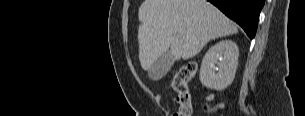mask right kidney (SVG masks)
<instances>
[{
	"instance_id": "1",
	"label": "right kidney",
	"mask_w": 305,
	"mask_h": 116,
	"mask_svg": "<svg viewBox=\"0 0 305 116\" xmlns=\"http://www.w3.org/2000/svg\"><path fill=\"white\" fill-rule=\"evenodd\" d=\"M238 56V46L231 40L212 46L202 60L199 75L202 85L215 90L227 88L234 80Z\"/></svg>"
}]
</instances>
